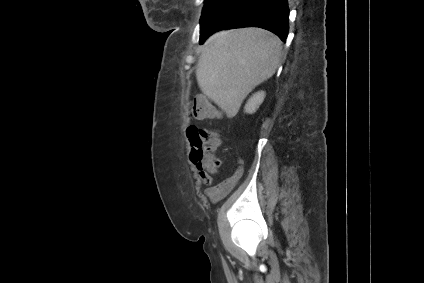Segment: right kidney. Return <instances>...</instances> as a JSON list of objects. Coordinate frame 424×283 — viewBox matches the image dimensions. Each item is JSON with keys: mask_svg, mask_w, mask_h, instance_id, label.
I'll return each mask as SVG.
<instances>
[{"mask_svg": "<svg viewBox=\"0 0 424 283\" xmlns=\"http://www.w3.org/2000/svg\"><path fill=\"white\" fill-rule=\"evenodd\" d=\"M264 98H265L264 91L255 93L245 105V112L249 114L254 113L258 109L260 104L263 102Z\"/></svg>", "mask_w": 424, "mask_h": 283, "instance_id": "ca27d5eb", "label": "right kidney"}]
</instances>
